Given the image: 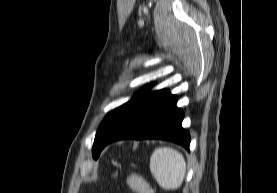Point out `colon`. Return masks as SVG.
<instances>
[{
  "instance_id": "1",
  "label": "colon",
  "mask_w": 277,
  "mask_h": 193,
  "mask_svg": "<svg viewBox=\"0 0 277 193\" xmlns=\"http://www.w3.org/2000/svg\"><path fill=\"white\" fill-rule=\"evenodd\" d=\"M125 184L134 193H154L150 184L137 173L127 174Z\"/></svg>"
}]
</instances>
